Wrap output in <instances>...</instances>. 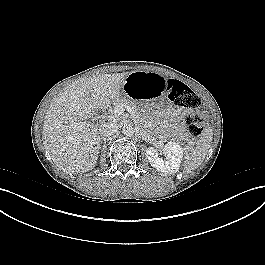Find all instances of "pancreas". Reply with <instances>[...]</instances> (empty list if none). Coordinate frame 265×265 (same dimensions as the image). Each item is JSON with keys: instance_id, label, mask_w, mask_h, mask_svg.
<instances>
[{"instance_id": "obj_1", "label": "pancreas", "mask_w": 265, "mask_h": 265, "mask_svg": "<svg viewBox=\"0 0 265 265\" xmlns=\"http://www.w3.org/2000/svg\"><path fill=\"white\" fill-rule=\"evenodd\" d=\"M124 105V106H130L135 113H138L139 108L136 106V103L133 102L129 97L127 96H123V97H117L114 101V106H118V105Z\"/></svg>"}]
</instances>
